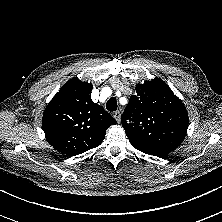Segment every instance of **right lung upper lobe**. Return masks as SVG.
<instances>
[{
	"mask_svg": "<svg viewBox=\"0 0 222 222\" xmlns=\"http://www.w3.org/2000/svg\"><path fill=\"white\" fill-rule=\"evenodd\" d=\"M92 84L69 80L47 105L43 130L55 150L75 156L100 145L116 120L91 99Z\"/></svg>",
	"mask_w": 222,
	"mask_h": 222,
	"instance_id": "obj_1",
	"label": "right lung upper lobe"
}]
</instances>
